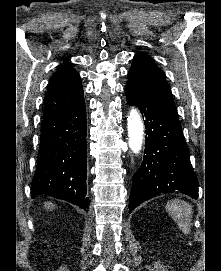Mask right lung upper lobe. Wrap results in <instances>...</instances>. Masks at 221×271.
<instances>
[{
    "mask_svg": "<svg viewBox=\"0 0 221 271\" xmlns=\"http://www.w3.org/2000/svg\"><path fill=\"white\" fill-rule=\"evenodd\" d=\"M82 102L84 94L80 76L65 59L49 81L43 118L72 110Z\"/></svg>",
    "mask_w": 221,
    "mask_h": 271,
    "instance_id": "right-lung-upper-lobe-1",
    "label": "right lung upper lobe"
}]
</instances>
